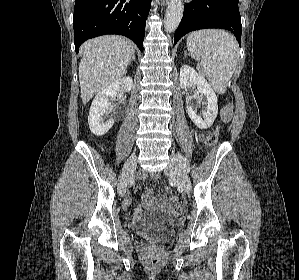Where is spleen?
Instances as JSON below:
<instances>
[{
	"mask_svg": "<svg viewBox=\"0 0 299 280\" xmlns=\"http://www.w3.org/2000/svg\"><path fill=\"white\" fill-rule=\"evenodd\" d=\"M187 49L192 58L201 60L202 71L212 88L219 94L225 93L239 59L235 39L223 30H199L188 36Z\"/></svg>",
	"mask_w": 299,
	"mask_h": 280,
	"instance_id": "obj_1",
	"label": "spleen"
}]
</instances>
